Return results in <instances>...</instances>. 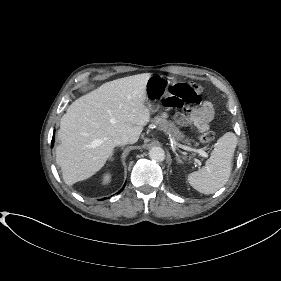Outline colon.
Masks as SVG:
<instances>
[{
	"label": "colon",
	"instance_id": "5ec220e1",
	"mask_svg": "<svg viewBox=\"0 0 281 281\" xmlns=\"http://www.w3.org/2000/svg\"><path fill=\"white\" fill-rule=\"evenodd\" d=\"M202 86L193 83H176L172 88V94L164 101V105L171 109H180L185 105H196L200 102ZM188 121V118H184ZM214 139V133L211 131L204 132L200 140L204 144L210 143Z\"/></svg>",
	"mask_w": 281,
	"mask_h": 281
}]
</instances>
